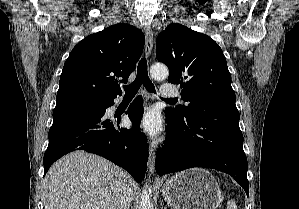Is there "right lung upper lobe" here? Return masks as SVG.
<instances>
[{
  "label": "right lung upper lobe",
  "mask_w": 299,
  "mask_h": 209,
  "mask_svg": "<svg viewBox=\"0 0 299 209\" xmlns=\"http://www.w3.org/2000/svg\"><path fill=\"white\" fill-rule=\"evenodd\" d=\"M145 43L139 29L124 23L110 26L80 41L67 58L57 101H105L121 95Z\"/></svg>",
  "instance_id": "obj_1"
}]
</instances>
